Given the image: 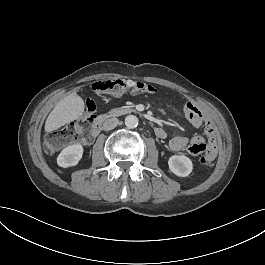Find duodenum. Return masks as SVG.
<instances>
[{"label":"duodenum","mask_w":265,"mask_h":265,"mask_svg":"<svg viewBox=\"0 0 265 265\" xmlns=\"http://www.w3.org/2000/svg\"><path fill=\"white\" fill-rule=\"evenodd\" d=\"M105 117H107V115H105L103 118H99L93 126V129L97 130L99 132V134L102 130L103 119ZM154 133H155L156 137H158L160 139H164L166 137V132L162 128H155Z\"/></svg>","instance_id":"1"}]
</instances>
